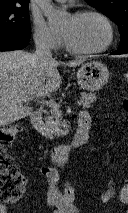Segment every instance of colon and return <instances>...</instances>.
<instances>
[{
    "mask_svg": "<svg viewBox=\"0 0 128 213\" xmlns=\"http://www.w3.org/2000/svg\"><path fill=\"white\" fill-rule=\"evenodd\" d=\"M124 80L128 83V71L124 73ZM123 108L128 111V96L123 100ZM22 128L16 124H9L0 129V202L14 203L25 192L26 179L20 171L11 164L6 148L10 146ZM113 196V188L109 187L102 195V200L108 201ZM75 188L68 184L64 189V203L66 206L75 205ZM120 199L128 203V179L120 191Z\"/></svg>",
    "mask_w": 128,
    "mask_h": 213,
    "instance_id": "obj_1",
    "label": "colon"
}]
</instances>
